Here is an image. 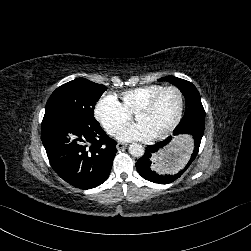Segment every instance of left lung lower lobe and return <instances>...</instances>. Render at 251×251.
Here are the masks:
<instances>
[{
	"instance_id": "left-lung-lower-lobe-1",
	"label": "left lung lower lobe",
	"mask_w": 251,
	"mask_h": 251,
	"mask_svg": "<svg viewBox=\"0 0 251 251\" xmlns=\"http://www.w3.org/2000/svg\"><path fill=\"white\" fill-rule=\"evenodd\" d=\"M205 127H197L193 125L177 126L173 135H186L190 139L191 154L187 158V162L181 166L179 171L168 173L161 171L156 167L154 157L159 149L167 145L172 137H168L165 141L159 142L155 145H148L144 155L136 162V169L138 173L146 180L158 184H168L178 179L194 161L204 134Z\"/></svg>"
}]
</instances>
